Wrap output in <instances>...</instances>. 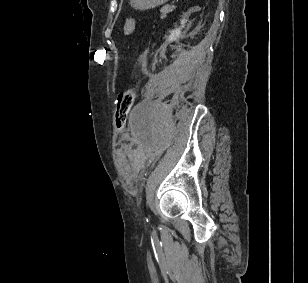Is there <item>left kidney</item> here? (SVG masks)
<instances>
[{"label":"left kidney","instance_id":"1","mask_svg":"<svg viewBox=\"0 0 308 283\" xmlns=\"http://www.w3.org/2000/svg\"><path fill=\"white\" fill-rule=\"evenodd\" d=\"M187 21L188 20L185 19V18L181 20V26L171 31V33L169 35V38H168V41H174V40H176V39H178L180 37L181 30L183 28H185V25H186Z\"/></svg>","mask_w":308,"mask_h":283}]
</instances>
